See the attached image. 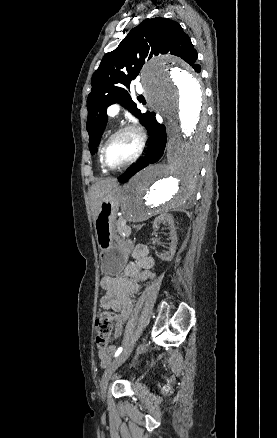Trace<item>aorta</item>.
I'll use <instances>...</instances> for the list:
<instances>
[{"label": "aorta", "mask_w": 277, "mask_h": 438, "mask_svg": "<svg viewBox=\"0 0 277 438\" xmlns=\"http://www.w3.org/2000/svg\"><path fill=\"white\" fill-rule=\"evenodd\" d=\"M145 95L167 120L166 163L150 165L129 182L123 216L141 222L175 210L192 196L203 156L205 116L198 75L181 61L154 57L141 71Z\"/></svg>", "instance_id": "762f6f07"}]
</instances>
